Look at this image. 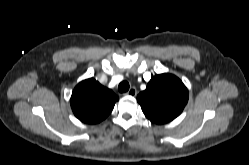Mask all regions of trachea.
Returning <instances> with one entry per match:
<instances>
[{
  "instance_id": "trachea-1",
  "label": "trachea",
  "mask_w": 249,
  "mask_h": 165,
  "mask_svg": "<svg viewBox=\"0 0 249 165\" xmlns=\"http://www.w3.org/2000/svg\"><path fill=\"white\" fill-rule=\"evenodd\" d=\"M129 90V83L127 81H122L118 86V91L120 93H125Z\"/></svg>"
}]
</instances>
